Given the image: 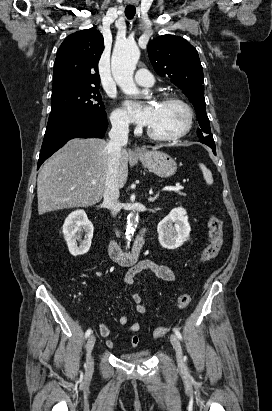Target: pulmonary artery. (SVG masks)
<instances>
[{
    "mask_svg": "<svg viewBox=\"0 0 272 411\" xmlns=\"http://www.w3.org/2000/svg\"><path fill=\"white\" fill-rule=\"evenodd\" d=\"M135 81L138 85L144 87H151L154 85V78L152 74L144 68L137 70L135 75Z\"/></svg>",
    "mask_w": 272,
    "mask_h": 411,
    "instance_id": "obj_1",
    "label": "pulmonary artery"
}]
</instances>
